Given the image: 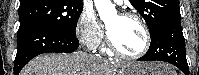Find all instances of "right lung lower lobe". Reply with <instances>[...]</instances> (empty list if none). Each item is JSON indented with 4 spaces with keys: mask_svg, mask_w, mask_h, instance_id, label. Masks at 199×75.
<instances>
[{
    "mask_svg": "<svg viewBox=\"0 0 199 75\" xmlns=\"http://www.w3.org/2000/svg\"><path fill=\"white\" fill-rule=\"evenodd\" d=\"M79 46L78 39L59 33L47 26L28 24L20 26L17 33V54L14 62V75L34 57L49 52H74Z\"/></svg>",
    "mask_w": 199,
    "mask_h": 75,
    "instance_id": "obj_1",
    "label": "right lung lower lobe"
}]
</instances>
